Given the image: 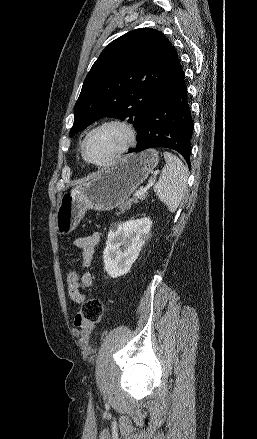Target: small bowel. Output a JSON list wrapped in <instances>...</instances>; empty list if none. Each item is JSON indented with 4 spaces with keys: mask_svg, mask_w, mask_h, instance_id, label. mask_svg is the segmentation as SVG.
Instances as JSON below:
<instances>
[{
    "mask_svg": "<svg viewBox=\"0 0 257 439\" xmlns=\"http://www.w3.org/2000/svg\"><path fill=\"white\" fill-rule=\"evenodd\" d=\"M100 241L99 233L95 232L85 237L77 238L74 245L81 249V257L79 261V268L81 273L78 282L75 285H68L69 296L73 302L80 304L84 301L85 296L82 290L89 288L93 284V276L89 271L94 258V250ZM94 325L85 322L80 314H78L74 321L73 334L78 339L82 348H87L91 339V334Z\"/></svg>",
    "mask_w": 257,
    "mask_h": 439,
    "instance_id": "1",
    "label": "small bowel"
}]
</instances>
